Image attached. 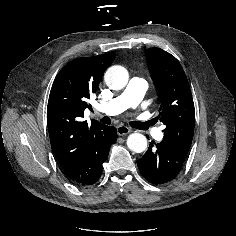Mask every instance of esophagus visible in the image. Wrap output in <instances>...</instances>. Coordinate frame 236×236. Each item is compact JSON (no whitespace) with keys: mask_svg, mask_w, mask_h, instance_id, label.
Instances as JSON below:
<instances>
[{"mask_svg":"<svg viewBox=\"0 0 236 236\" xmlns=\"http://www.w3.org/2000/svg\"><path fill=\"white\" fill-rule=\"evenodd\" d=\"M130 132H131V129L127 126L120 125V126L117 127V133L120 136L127 135Z\"/></svg>","mask_w":236,"mask_h":236,"instance_id":"obj_1","label":"esophagus"}]
</instances>
